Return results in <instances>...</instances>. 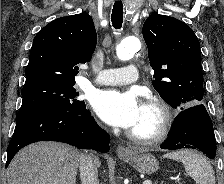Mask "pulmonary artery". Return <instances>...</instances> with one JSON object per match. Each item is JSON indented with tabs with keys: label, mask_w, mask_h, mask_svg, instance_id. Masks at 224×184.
<instances>
[{
	"label": "pulmonary artery",
	"mask_w": 224,
	"mask_h": 184,
	"mask_svg": "<svg viewBox=\"0 0 224 184\" xmlns=\"http://www.w3.org/2000/svg\"><path fill=\"white\" fill-rule=\"evenodd\" d=\"M138 78V69L134 65H128L126 68L103 70L94 83L99 85H122L133 83Z\"/></svg>",
	"instance_id": "1"
}]
</instances>
